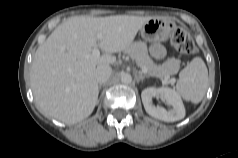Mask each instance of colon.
<instances>
[{
	"label": "colon",
	"instance_id": "colon-1",
	"mask_svg": "<svg viewBox=\"0 0 238 158\" xmlns=\"http://www.w3.org/2000/svg\"><path fill=\"white\" fill-rule=\"evenodd\" d=\"M171 42L182 54L191 55L196 52V47L190 34L183 28H174L171 35Z\"/></svg>",
	"mask_w": 238,
	"mask_h": 158
}]
</instances>
